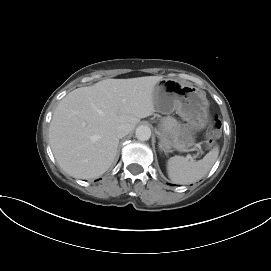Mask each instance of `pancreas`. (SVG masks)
<instances>
[{
  "mask_svg": "<svg viewBox=\"0 0 271 271\" xmlns=\"http://www.w3.org/2000/svg\"><path fill=\"white\" fill-rule=\"evenodd\" d=\"M178 126L179 124L173 117L168 116L162 119V129L166 131L172 132L178 128Z\"/></svg>",
  "mask_w": 271,
  "mask_h": 271,
  "instance_id": "obj_1",
  "label": "pancreas"
}]
</instances>
